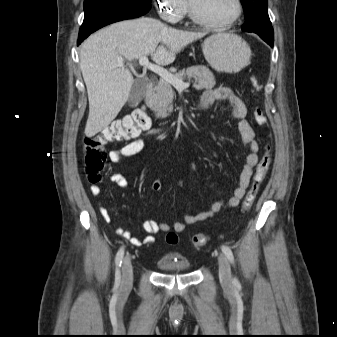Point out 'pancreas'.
<instances>
[{
    "label": "pancreas",
    "mask_w": 337,
    "mask_h": 337,
    "mask_svg": "<svg viewBox=\"0 0 337 337\" xmlns=\"http://www.w3.org/2000/svg\"><path fill=\"white\" fill-rule=\"evenodd\" d=\"M175 76L180 80L194 78L195 82L193 86L197 90L212 89L216 84L213 73L206 66H192L176 73ZM173 98L174 91L171 84L160 78L157 85L153 88L148 104L157 118H166L173 110Z\"/></svg>",
    "instance_id": "obj_1"
}]
</instances>
